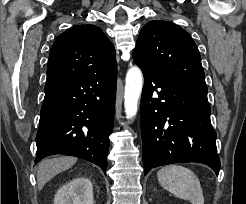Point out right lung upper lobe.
<instances>
[{"mask_svg": "<svg viewBox=\"0 0 246 204\" xmlns=\"http://www.w3.org/2000/svg\"><path fill=\"white\" fill-rule=\"evenodd\" d=\"M117 70L115 49L95 25H78L63 32L49 55L47 82Z\"/></svg>", "mask_w": 246, "mask_h": 204, "instance_id": "1", "label": "right lung upper lobe"}]
</instances>
